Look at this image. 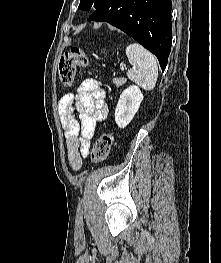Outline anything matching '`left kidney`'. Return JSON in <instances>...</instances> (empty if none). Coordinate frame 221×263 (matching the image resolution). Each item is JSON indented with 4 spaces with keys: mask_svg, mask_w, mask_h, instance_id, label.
Here are the masks:
<instances>
[{
    "mask_svg": "<svg viewBox=\"0 0 221 263\" xmlns=\"http://www.w3.org/2000/svg\"><path fill=\"white\" fill-rule=\"evenodd\" d=\"M143 100V94L136 85L125 89L115 109V122L119 128H125L133 119Z\"/></svg>",
    "mask_w": 221,
    "mask_h": 263,
    "instance_id": "1",
    "label": "left kidney"
}]
</instances>
